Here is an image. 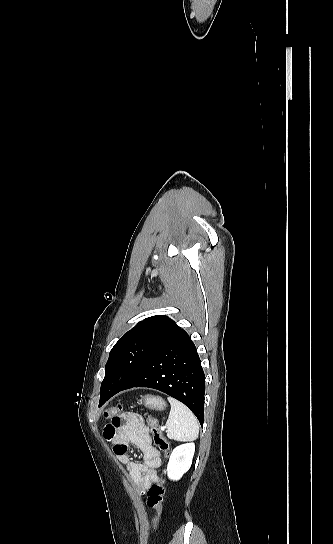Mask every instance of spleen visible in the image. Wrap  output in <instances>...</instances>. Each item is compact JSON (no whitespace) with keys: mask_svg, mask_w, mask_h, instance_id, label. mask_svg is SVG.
Wrapping results in <instances>:
<instances>
[{"mask_svg":"<svg viewBox=\"0 0 333 544\" xmlns=\"http://www.w3.org/2000/svg\"><path fill=\"white\" fill-rule=\"evenodd\" d=\"M171 405L166 422L167 437L178 441H191L198 437L199 425L194 414L180 401L168 397Z\"/></svg>","mask_w":333,"mask_h":544,"instance_id":"1","label":"spleen"}]
</instances>
